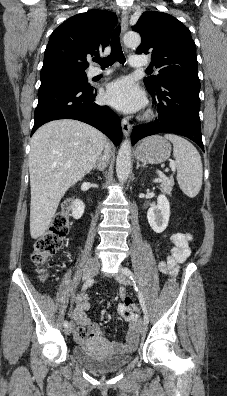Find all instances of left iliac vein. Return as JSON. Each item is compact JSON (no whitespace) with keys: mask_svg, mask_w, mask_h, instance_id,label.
Wrapping results in <instances>:
<instances>
[{"mask_svg":"<svg viewBox=\"0 0 227 396\" xmlns=\"http://www.w3.org/2000/svg\"><path fill=\"white\" fill-rule=\"evenodd\" d=\"M123 270L124 268L121 267L119 272L115 275V279L122 284L126 283V275ZM139 332L141 335H144L147 332V324L144 321H141L139 324Z\"/></svg>","mask_w":227,"mask_h":396,"instance_id":"obj_1","label":"left iliac vein"}]
</instances>
